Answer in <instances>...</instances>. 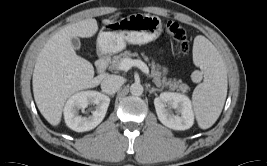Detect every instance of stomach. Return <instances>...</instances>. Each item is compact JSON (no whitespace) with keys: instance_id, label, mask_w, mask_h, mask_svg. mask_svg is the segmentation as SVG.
Here are the masks:
<instances>
[{"instance_id":"stomach-1","label":"stomach","mask_w":267,"mask_h":166,"mask_svg":"<svg viewBox=\"0 0 267 166\" xmlns=\"http://www.w3.org/2000/svg\"><path fill=\"white\" fill-rule=\"evenodd\" d=\"M162 32V22L157 16L131 14L118 21L105 24L97 38V51L113 54L122 51L126 42L146 44L156 40Z\"/></svg>"}]
</instances>
